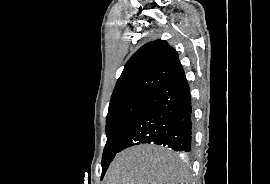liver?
Segmentation results:
<instances>
[{"instance_id": "6515ba94", "label": "liver", "mask_w": 270, "mask_h": 184, "mask_svg": "<svg viewBox=\"0 0 270 184\" xmlns=\"http://www.w3.org/2000/svg\"><path fill=\"white\" fill-rule=\"evenodd\" d=\"M105 178L106 184H188L189 173L165 148L143 144L117 154Z\"/></svg>"}]
</instances>
